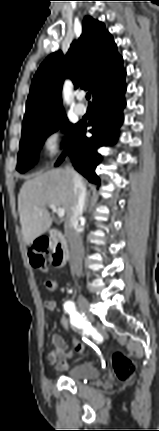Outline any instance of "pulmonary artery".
<instances>
[{
  "instance_id": "pulmonary-artery-1",
  "label": "pulmonary artery",
  "mask_w": 159,
  "mask_h": 431,
  "mask_svg": "<svg viewBox=\"0 0 159 431\" xmlns=\"http://www.w3.org/2000/svg\"><path fill=\"white\" fill-rule=\"evenodd\" d=\"M82 98H83V96L82 95H79L78 96V100L80 101V100H82ZM74 111L76 112V114H78V115H84L86 112H87V109H86V107L83 105V104H81V103H78V104H76L75 105V107H74Z\"/></svg>"
}]
</instances>
